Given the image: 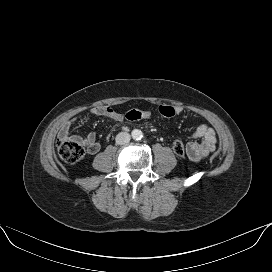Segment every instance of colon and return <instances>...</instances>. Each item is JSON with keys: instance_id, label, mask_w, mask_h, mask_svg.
Wrapping results in <instances>:
<instances>
[{"instance_id": "colon-1", "label": "colon", "mask_w": 272, "mask_h": 272, "mask_svg": "<svg viewBox=\"0 0 272 272\" xmlns=\"http://www.w3.org/2000/svg\"><path fill=\"white\" fill-rule=\"evenodd\" d=\"M158 113L164 118H172L176 115V110L170 105H161ZM125 118L131 122L149 121L154 118V112L149 109H132L125 114ZM172 147L178 157H185V148L181 141L175 140ZM57 151L61 160L68 164L79 162L86 152L83 144L70 139L58 141Z\"/></svg>"}]
</instances>
